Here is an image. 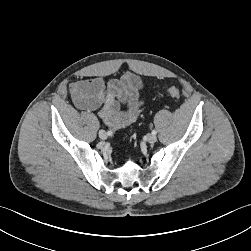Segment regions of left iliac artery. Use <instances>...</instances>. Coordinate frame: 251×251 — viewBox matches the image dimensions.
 <instances>
[{
    "label": "left iliac artery",
    "instance_id": "obj_1",
    "mask_svg": "<svg viewBox=\"0 0 251 251\" xmlns=\"http://www.w3.org/2000/svg\"><path fill=\"white\" fill-rule=\"evenodd\" d=\"M157 131L156 130H152V134L156 135Z\"/></svg>",
    "mask_w": 251,
    "mask_h": 251
}]
</instances>
